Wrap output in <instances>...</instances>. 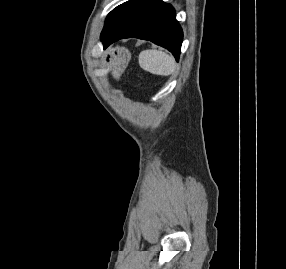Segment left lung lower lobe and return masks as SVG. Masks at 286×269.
I'll return each instance as SVG.
<instances>
[{
  "mask_svg": "<svg viewBox=\"0 0 286 269\" xmlns=\"http://www.w3.org/2000/svg\"><path fill=\"white\" fill-rule=\"evenodd\" d=\"M131 37L152 41L167 48L176 60L179 58L183 32L173 7L161 0H143L113 28L101 33L104 48Z\"/></svg>",
  "mask_w": 286,
  "mask_h": 269,
  "instance_id": "1",
  "label": "left lung lower lobe"
}]
</instances>
